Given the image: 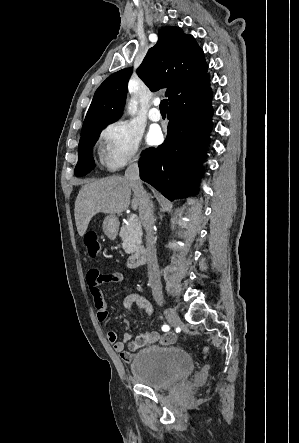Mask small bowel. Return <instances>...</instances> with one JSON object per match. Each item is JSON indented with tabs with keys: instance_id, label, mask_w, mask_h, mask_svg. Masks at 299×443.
Wrapping results in <instances>:
<instances>
[{
	"instance_id": "1",
	"label": "small bowel",
	"mask_w": 299,
	"mask_h": 443,
	"mask_svg": "<svg viewBox=\"0 0 299 443\" xmlns=\"http://www.w3.org/2000/svg\"><path fill=\"white\" fill-rule=\"evenodd\" d=\"M89 293L91 295L94 308L96 310V317L99 321H105L108 318V310L104 296L100 290V285L103 283H119L126 278L119 273L114 274H101L97 269H90L86 275ZM127 279L132 280V276H128ZM123 305L127 310H131L135 305L146 314V323L150 322L153 314V307L151 303L142 295L138 293H130L125 296ZM131 337L130 332H126L122 338L118 333L111 330L107 333V339L112 344L114 350L120 354L121 358L125 362H130L133 359L134 353L145 346L159 343L161 345H171L176 341V335L174 333L159 334L149 330L139 334L131 343L130 350H125V343Z\"/></svg>"
}]
</instances>
